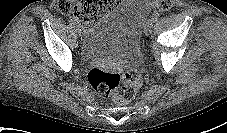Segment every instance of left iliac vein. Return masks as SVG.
<instances>
[{
	"instance_id": "4c4485c4",
	"label": "left iliac vein",
	"mask_w": 227,
	"mask_h": 133,
	"mask_svg": "<svg viewBox=\"0 0 227 133\" xmlns=\"http://www.w3.org/2000/svg\"><path fill=\"white\" fill-rule=\"evenodd\" d=\"M152 25L153 24L150 20L146 23L145 28H144V33H145L146 36H148L151 33Z\"/></svg>"
}]
</instances>
